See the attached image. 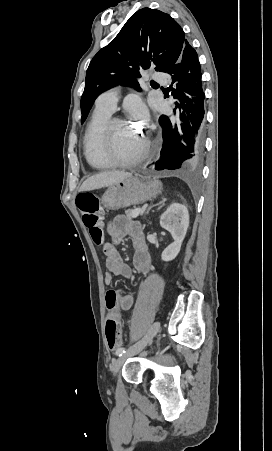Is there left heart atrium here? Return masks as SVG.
<instances>
[{
  "mask_svg": "<svg viewBox=\"0 0 272 451\" xmlns=\"http://www.w3.org/2000/svg\"><path fill=\"white\" fill-rule=\"evenodd\" d=\"M130 111L133 113L134 117L138 120L145 122L147 120V111L142 104H137L130 107Z\"/></svg>",
  "mask_w": 272,
  "mask_h": 451,
  "instance_id": "1",
  "label": "left heart atrium"
}]
</instances>
